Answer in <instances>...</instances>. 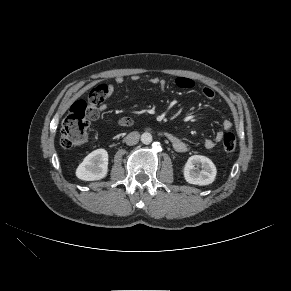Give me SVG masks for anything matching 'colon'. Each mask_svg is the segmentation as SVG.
I'll return each mask as SVG.
<instances>
[{"label":"colon","instance_id":"colon-1","mask_svg":"<svg viewBox=\"0 0 291 291\" xmlns=\"http://www.w3.org/2000/svg\"><path fill=\"white\" fill-rule=\"evenodd\" d=\"M102 88H95L90 92L89 101L78 100L70 107L61 128V145L66 149L74 148L87 140L91 120V107L101 101ZM123 126L132 124L130 118L121 119ZM222 146L225 152L236 150V138L231 132H224Z\"/></svg>","mask_w":291,"mask_h":291}]
</instances>
